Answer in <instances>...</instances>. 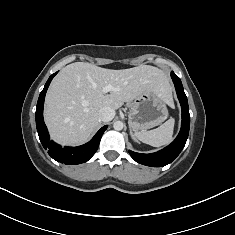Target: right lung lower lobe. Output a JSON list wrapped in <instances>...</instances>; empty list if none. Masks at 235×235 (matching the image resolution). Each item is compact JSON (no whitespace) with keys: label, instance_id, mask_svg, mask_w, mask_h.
Listing matches in <instances>:
<instances>
[{"label":"right lung lower lobe","instance_id":"1","mask_svg":"<svg viewBox=\"0 0 235 235\" xmlns=\"http://www.w3.org/2000/svg\"><path fill=\"white\" fill-rule=\"evenodd\" d=\"M57 74H52L47 80L44 89L40 93L37 109L35 114L36 119V127L39 135V139L45 149L48 150L49 155L56 161L65 163L67 165L80 164L84 163L92 158L96 150L98 149L100 139L102 134L107 129V125L103 126L96 135L92 138L88 143L78 146V147H64L62 148L60 145L54 143L49 140V134L47 128L45 126L43 120V105L45 94L48 89V86L53 79V77Z\"/></svg>","mask_w":235,"mask_h":235}]
</instances>
